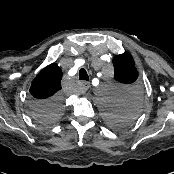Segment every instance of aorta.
I'll return each instance as SVG.
<instances>
[{"label": "aorta", "mask_w": 174, "mask_h": 174, "mask_svg": "<svg viewBox=\"0 0 174 174\" xmlns=\"http://www.w3.org/2000/svg\"><path fill=\"white\" fill-rule=\"evenodd\" d=\"M99 93L104 100H109L110 98H112L114 91L110 88H105L104 86H101L99 87Z\"/></svg>", "instance_id": "762f6f07"}]
</instances>
